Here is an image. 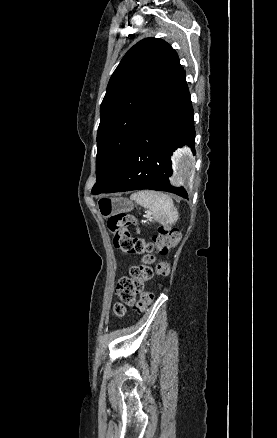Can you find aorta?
Segmentation results:
<instances>
[{"instance_id": "1", "label": "aorta", "mask_w": 277, "mask_h": 438, "mask_svg": "<svg viewBox=\"0 0 277 438\" xmlns=\"http://www.w3.org/2000/svg\"><path fill=\"white\" fill-rule=\"evenodd\" d=\"M173 161L174 175L172 181L187 186L195 173V158L191 150L187 147L178 150Z\"/></svg>"}]
</instances>
